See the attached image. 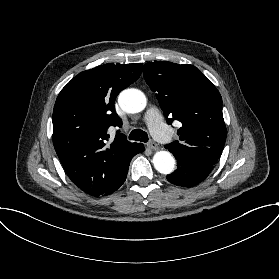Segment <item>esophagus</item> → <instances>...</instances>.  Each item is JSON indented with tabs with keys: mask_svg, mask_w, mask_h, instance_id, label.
I'll list each match as a JSON object with an SVG mask.
<instances>
[{
	"mask_svg": "<svg viewBox=\"0 0 279 279\" xmlns=\"http://www.w3.org/2000/svg\"><path fill=\"white\" fill-rule=\"evenodd\" d=\"M148 147L151 148L152 150H158L159 149V146L157 143L153 142V141H150L148 144Z\"/></svg>",
	"mask_w": 279,
	"mask_h": 279,
	"instance_id": "obj_1",
	"label": "esophagus"
}]
</instances>
